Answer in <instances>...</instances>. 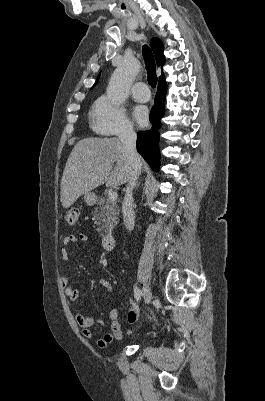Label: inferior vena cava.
<instances>
[{
	"mask_svg": "<svg viewBox=\"0 0 265 401\" xmlns=\"http://www.w3.org/2000/svg\"><path fill=\"white\" fill-rule=\"evenodd\" d=\"M119 138L123 144L125 152H127L128 162L131 172L127 186L125 188V196L122 205L123 221L126 229L132 231L135 223V213L133 207V188L137 182V178L141 170L140 156L136 150V132L133 130V124H123Z\"/></svg>",
	"mask_w": 265,
	"mask_h": 401,
	"instance_id": "1",
	"label": "inferior vena cava"
}]
</instances>
